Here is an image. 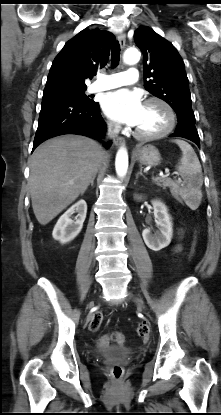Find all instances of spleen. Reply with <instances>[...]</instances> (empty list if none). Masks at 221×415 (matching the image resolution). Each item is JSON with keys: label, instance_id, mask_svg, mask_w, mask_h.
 Segmentation results:
<instances>
[{"label": "spleen", "instance_id": "spleen-1", "mask_svg": "<svg viewBox=\"0 0 221 415\" xmlns=\"http://www.w3.org/2000/svg\"><path fill=\"white\" fill-rule=\"evenodd\" d=\"M173 142L182 151V157L176 169L183 179V184L180 187L178 183L172 182V186L178 190L180 196L190 208L196 209L202 199L201 186L203 184L202 168L199 159L191 145L187 142L180 139L173 140Z\"/></svg>", "mask_w": 221, "mask_h": 415}]
</instances>
